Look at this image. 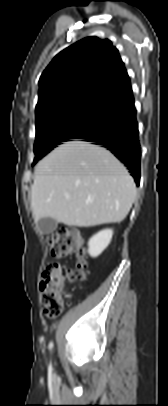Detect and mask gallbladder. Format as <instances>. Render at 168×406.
Returning <instances> with one entry per match:
<instances>
[{
    "label": "gallbladder",
    "instance_id": "1",
    "mask_svg": "<svg viewBox=\"0 0 168 406\" xmlns=\"http://www.w3.org/2000/svg\"><path fill=\"white\" fill-rule=\"evenodd\" d=\"M38 227L42 233L50 234L57 228V221L49 217L41 218Z\"/></svg>",
    "mask_w": 168,
    "mask_h": 406
}]
</instances>
